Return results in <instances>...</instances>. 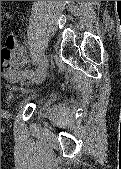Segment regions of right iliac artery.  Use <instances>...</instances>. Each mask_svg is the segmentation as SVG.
<instances>
[{"mask_svg":"<svg viewBox=\"0 0 121 169\" xmlns=\"http://www.w3.org/2000/svg\"><path fill=\"white\" fill-rule=\"evenodd\" d=\"M33 76H35V73L33 71H30V70L25 74V78H31Z\"/></svg>","mask_w":121,"mask_h":169,"instance_id":"1","label":"right iliac artery"}]
</instances>
